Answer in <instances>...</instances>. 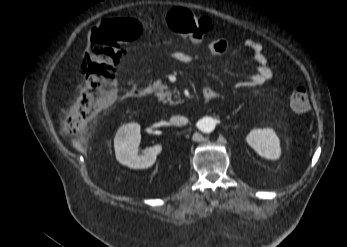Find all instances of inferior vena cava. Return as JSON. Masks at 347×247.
<instances>
[{
    "label": "inferior vena cava",
    "mask_w": 347,
    "mask_h": 247,
    "mask_svg": "<svg viewBox=\"0 0 347 247\" xmlns=\"http://www.w3.org/2000/svg\"><path fill=\"white\" fill-rule=\"evenodd\" d=\"M170 123L175 126H182L188 123V119L184 116H173L170 118Z\"/></svg>",
    "instance_id": "inferior-vena-cava-1"
}]
</instances>
